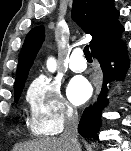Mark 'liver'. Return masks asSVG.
Returning a JSON list of instances; mask_svg holds the SVG:
<instances>
[{"label":"liver","instance_id":"liver-1","mask_svg":"<svg viewBox=\"0 0 131 151\" xmlns=\"http://www.w3.org/2000/svg\"><path fill=\"white\" fill-rule=\"evenodd\" d=\"M74 146L61 138H42L20 144L13 151H74Z\"/></svg>","mask_w":131,"mask_h":151}]
</instances>
